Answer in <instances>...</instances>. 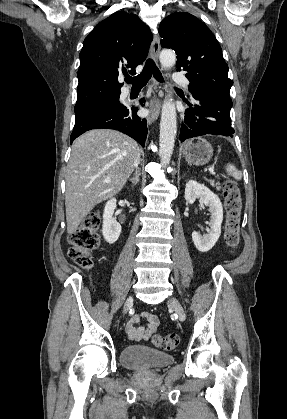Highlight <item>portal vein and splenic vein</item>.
I'll return each instance as SVG.
<instances>
[{"label": "portal vein and splenic vein", "instance_id": "portal-vein-and-splenic-vein-1", "mask_svg": "<svg viewBox=\"0 0 287 419\" xmlns=\"http://www.w3.org/2000/svg\"><path fill=\"white\" fill-rule=\"evenodd\" d=\"M211 174H214V170L213 169H209Z\"/></svg>", "mask_w": 287, "mask_h": 419}]
</instances>
